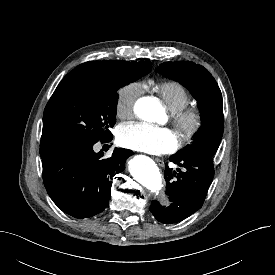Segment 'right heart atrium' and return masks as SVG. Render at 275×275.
Wrapping results in <instances>:
<instances>
[{"label":"right heart atrium","instance_id":"1","mask_svg":"<svg viewBox=\"0 0 275 275\" xmlns=\"http://www.w3.org/2000/svg\"><path fill=\"white\" fill-rule=\"evenodd\" d=\"M143 91V85L136 81L121 86L116 94V115L121 119L130 118L133 115L135 103Z\"/></svg>","mask_w":275,"mask_h":275}]
</instances>
